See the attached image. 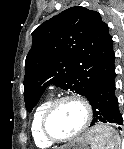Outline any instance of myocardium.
<instances>
[{"instance_id":"f54148a6","label":"myocardium","mask_w":124,"mask_h":149,"mask_svg":"<svg viewBox=\"0 0 124 149\" xmlns=\"http://www.w3.org/2000/svg\"><path fill=\"white\" fill-rule=\"evenodd\" d=\"M74 101L82 105L85 111V119L82 127L73 135L65 138L55 137L49 130L48 122L54 110L64 102ZM93 120V109L91 104L83 97L78 95H66L54 100L46 109L41 123V129L44 137L52 143H66L81 136L91 125Z\"/></svg>"}]
</instances>
